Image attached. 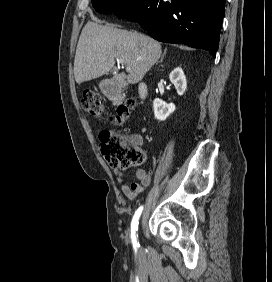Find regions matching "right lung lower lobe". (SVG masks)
<instances>
[{
    "label": "right lung lower lobe",
    "mask_w": 272,
    "mask_h": 282,
    "mask_svg": "<svg viewBox=\"0 0 272 282\" xmlns=\"http://www.w3.org/2000/svg\"><path fill=\"white\" fill-rule=\"evenodd\" d=\"M225 0H140L114 14L133 20L154 39L184 43L215 57Z\"/></svg>",
    "instance_id": "1"
}]
</instances>
